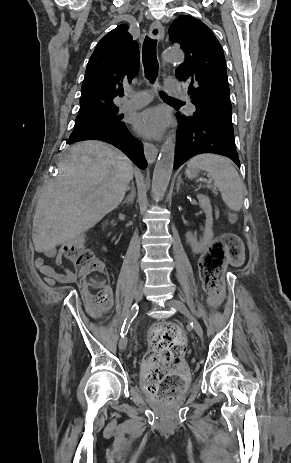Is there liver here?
I'll return each mask as SVG.
<instances>
[{
	"mask_svg": "<svg viewBox=\"0 0 291 463\" xmlns=\"http://www.w3.org/2000/svg\"><path fill=\"white\" fill-rule=\"evenodd\" d=\"M132 179V162L112 145L88 140L71 146L38 201L35 250L54 256L57 246L95 226L122 202Z\"/></svg>",
	"mask_w": 291,
	"mask_h": 463,
	"instance_id": "1",
	"label": "liver"
}]
</instances>
